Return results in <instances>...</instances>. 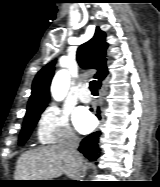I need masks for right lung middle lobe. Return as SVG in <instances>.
<instances>
[{"label": "right lung middle lobe", "instance_id": "obj_1", "mask_svg": "<svg viewBox=\"0 0 160 187\" xmlns=\"http://www.w3.org/2000/svg\"><path fill=\"white\" fill-rule=\"evenodd\" d=\"M43 110L40 111H35L31 113H27L22 131L19 137V145L22 146L26 140L28 139L29 135L31 134L34 126L36 125L37 121L39 120L40 114L42 113Z\"/></svg>", "mask_w": 160, "mask_h": 187}]
</instances>
